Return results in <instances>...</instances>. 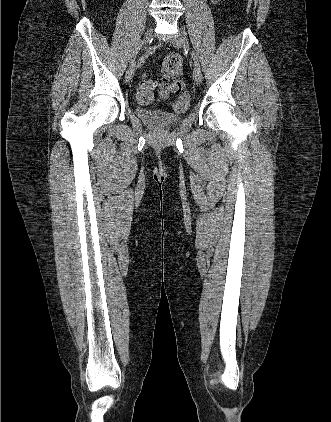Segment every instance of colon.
Segmentation results:
<instances>
[{
	"label": "colon",
	"mask_w": 331,
	"mask_h": 422,
	"mask_svg": "<svg viewBox=\"0 0 331 422\" xmlns=\"http://www.w3.org/2000/svg\"><path fill=\"white\" fill-rule=\"evenodd\" d=\"M182 74V58L176 53L167 55L162 65V77L159 85V93L162 98L167 97L171 92L180 94V98L174 103L175 111H182L187 108L189 97L184 89L183 83L178 80Z\"/></svg>",
	"instance_id": "1"
}]
</instances>
